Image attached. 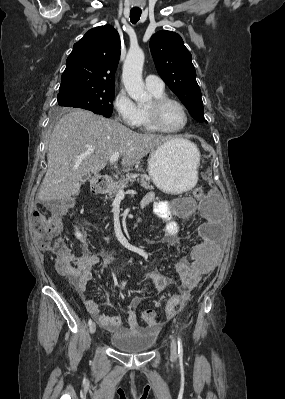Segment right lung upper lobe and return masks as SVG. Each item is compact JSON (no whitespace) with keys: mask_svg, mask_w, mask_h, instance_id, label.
Here are the masks:
<instances>
[{"mask_svg":"<svg viewBox=\"0 0 285 399\" xmlns=\"http://www.w3.org/2000/svg\"><path fill=\"white\" fill-rule=\"evenodd\" d=\"M120 48L119 34L112 26L87 31L67 58L59 93L114 89Z\"/></svg>","mask_w":285,"mask_h":399,"instance_id":"cb5924a9","label":"right lung upper lobe"}]
</instances>
